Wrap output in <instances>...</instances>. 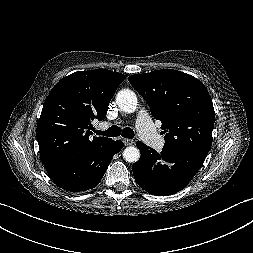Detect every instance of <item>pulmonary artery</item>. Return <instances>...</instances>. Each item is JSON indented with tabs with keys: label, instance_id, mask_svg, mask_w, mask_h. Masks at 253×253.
Returning <instances> with one entry per match:
<instances>
[{
	"label": "pulmonary artery",
	"instance_id": "1",
	"mask_svg": "<svg viewBox=\"0 0 253 253\" xmlns=\"http://www.w3.org/2000/svg\"><path fill=\"white\" fill-rule=\"evenodd\" d=\"M137 130L139 136L151 147L161 148L164 139L156 132L149 114L141 111L137 118Z\"/></svg>",
	"mask_w": 253,
	"mask_h": 253
}]
</instances>
